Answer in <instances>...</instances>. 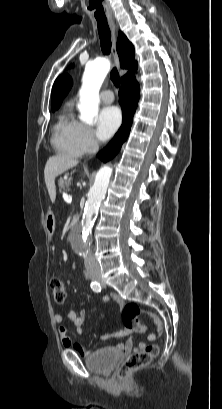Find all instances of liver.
I'll list each match as a JSON object with an SVG mask.
<instances>
[{
    "label": "liver",
    "mask_w": 222,
    "mask_h": 409,
    "mask_svg": "<svg viewBox=\"0 0 222 409\" xmlns=\"http://www.w3.org/2000/svg\"><path fill=\"white\" fill-rule=\"evenodd\" d=\"M78 160L64 155L50 157L45 165L44 178L46 187L52 203L56 199L55 179L67 170L77 166Z\"/></svg>",
    "instance_id": "obj_1"
}]
</instances>
